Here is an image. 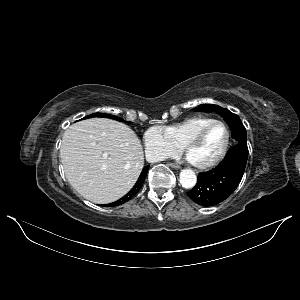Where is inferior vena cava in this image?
<instances>
[{
  "label": "inferior vena cava",
  "mask_w": 300,
  "mask_h": 300,
  "mask_svg": "<svg viewBox=\"0 0 300 300\" xmlns=\"http://www.w3.org/2000/svg\"><path fill=\"white\" fill-rule=\"evenodd\" d=\"M164 159V156L160 153L146 150V160L148 162H158Z\"/></svg>",
  "instance_id": "1"
}]
</instances>
